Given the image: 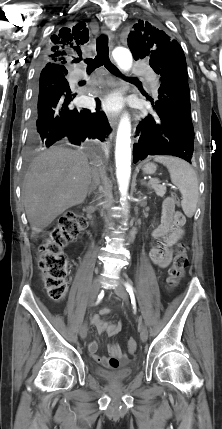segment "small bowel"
Masks as SVG:
<instances>
[{
    "instance_id": "c3829d8e",
    "label": "small bowel",
    "mask_w": 222,
    "mask_h": 429,
    "mask_svg": "<svg viewBox=\"0 0 222 429\" xmlns=\"http://www.w3.org/2000/svg\"><path fill=\"white\" fill-rule=\"evenodd\" d=\"M185 216L175 210L174 204L166 200L162 207L161 218L152 228V236L159 240L150 250L151 261L160 268H166L173 256V246L181 239L184 230ZM109 314L108 308H103L98 315L92 318L93 326L100 333H107L109 336L118 334L122 329L120 321H107L105 317ZM88 351L91 357L103 367L117 369L128 362L126 353L117 343L108 345V356H101L97 353L98 343L91 340L88 343Z\"/></svg>"
}]
</instances>
